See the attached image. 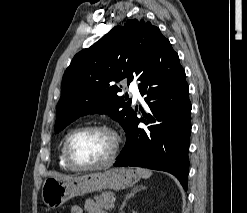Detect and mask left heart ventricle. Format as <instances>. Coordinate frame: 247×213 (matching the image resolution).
Listing matches in <instances>:
<instances>
[{
    "label": "left heart ventricle",
    "instance_id": "left-heart-ventricle-1",
    "mask_svg": "<svg viewBox=\"0 0 247 213\" xmlns=\"http://www.w3.org/2000/svg\"><path fill=\"white\" fill-rule=\"evenodd\" d=\"M113 137L102 131L83 132L75 136L71 152L76 161L82 164H96L106 160L113 149Z\"/></svg>",
    "mask_w": 247,
    "mask_h": 213
}]
</instances>
